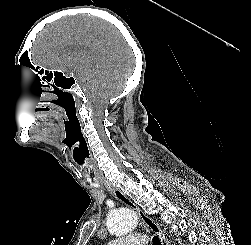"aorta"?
<instances>
[{"instance_id": "aorta-1", "label": "aorta", "mask_w": 251, "mask_h": 245, "mask_svg": "<svg viewBox=\"0 0 251 245\" xmlns=\"http://www.w3.org/2000/svg\"><path fill=\"white\" fill-rule=\"evenodd\" d=\"M137 226L136 213L129 208H120L109 213L107 228L115 236L131 233Z\"/></svg>"}]
</instances>
